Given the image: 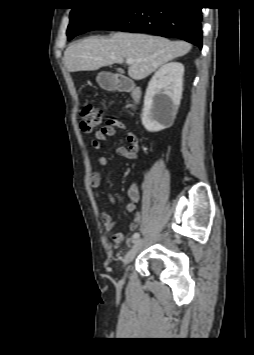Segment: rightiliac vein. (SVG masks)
<instances>
[{"instance_id":"1","label":"right iliac vein","mask_w":254,"mask_h":355,"mask_svg":"<svg viewBox=\"0 0 254 355\" xmlns=\"http://www.w3.org/2000/svg\"><path fill=\"white\" fill-rule=\"evenodd\" d=\"M142 243H143V241L140 239L134 241L132 247L129 249V251L126 253V255L124 257V260H123L124 266H127L133 260L136 253L140 249Z\"/></svg>"}]
</instances>
